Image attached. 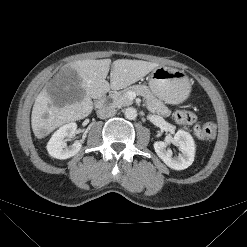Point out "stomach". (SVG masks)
<instances>
[{"label": "stomach", "instance_id": "1", "mask_svg": "<svg viewBox=\"0 0 247 247\" xmlns=\"http://www.w3.org/2000/svg\"><path fill=\"white\" fill-rule=\"evenodd\" d=\"M149 87L168 104L182 103L190 93V82L184 71L158 66L149 75Z\"/></svg>", "mask_w": 247, "mask_h": 247}]
</instances>
